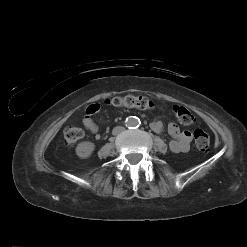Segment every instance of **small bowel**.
<instances>
[{"instance_id":"small-bowel-1","label":"small bowel","mask_w":247,"mask_h":247,"mask_svg":"<svg viewBox=\"0 0 247 247\" xmlns=\"http://www.w3.org/2000/svg\"><path fill=\"white\" fill-rule=\"evenodd\" d=\"M100 110V105L97 103L91 104L86 109V114L82 119V124L86 130L92 133L96 139L100 138L98 133L99 128L94 122L92 116L98 113ZM151 129L156 133H161L164 129L162 121L155 120L150 124ZM169 135L172 140L169 143V148L174 153H184L190 148V143L192 141V133L188 130H181L178 125L174 122H170L167 126Z\"/></svg>"}]
</instances>
